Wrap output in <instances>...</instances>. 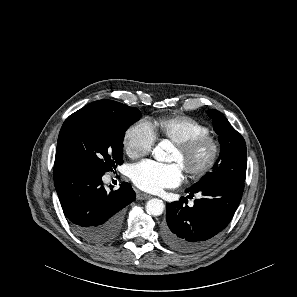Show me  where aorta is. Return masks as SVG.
Wrapping results in <instances>:
<instances>
[{
  "mask_svg": "<svg viewBox=\"0 0 297 297\" xmlns=\"http://www.w3.org/2000/svg\"><path fill=\"white\" fill-rule=\"evenodd\" d=\"M166 146L164 143H159L154 149H153V157L157 160V161H161L164 162L167 159V151H166ZM164 203L162 200L157 199V198H153L150 199L147 203H146V212L149 215L152 216H159L163 213L164 211Z\"/></svg>",
  "mask_w": 297,
  "mask_h": 297,
  "instance_id": "aorta-1",
  "label": "aorta"
}]
</instances>
